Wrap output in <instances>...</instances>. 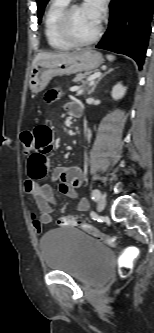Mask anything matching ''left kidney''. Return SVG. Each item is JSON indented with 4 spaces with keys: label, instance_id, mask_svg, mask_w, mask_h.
Returning a JSON list of instances; mask_svg holds the SVG:
<instances>
[{
    "label": "left kidney",
    "instance_id": "5707ae66",
    "mask_svg": "<svg viewBox=\"0 0 154 333\" xmlns=\"http://www.w3.org/2000/svg\"><path fill=\"white\" fill-rule=\"evenodd\" d=\"M126 93V87H124L121 83L116 84L111 92V96L114 100L121 99Z\"/></svg>",
    "mask_w": 154,
    "mask_h": 333
}]
</instances>
